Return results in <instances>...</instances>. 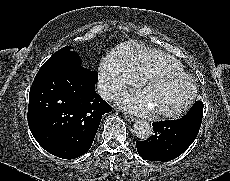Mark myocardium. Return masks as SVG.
Wrapping results in <instances>:
<instances>
[{
  "instance_id": "myocardium-1",
  "label": "myocardium",
  "mask_w": 230,
  "mask_h": 181,
  "mask_svg": "<svg viewBox=\"0 0 230 181\" xmlns=\"http://www.w3.org/2000/svg\"><path fill=\"white\" fill-rule=\"evenodd\" d=\"M166 77L184 79L188 81V83L191 86L190 94L182 106L174 110H155L154 111V114L157 116L173 118V117H177L185 113L192 106L196 98V95H197V86L194 80L185 72H176V71H171V70H159V71L151 72L141 79V84H140L141 91H144L146 86L152 81H155L161 78H166Z\"/></svg>"
}]
</instances>
